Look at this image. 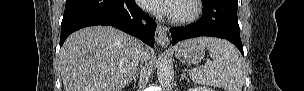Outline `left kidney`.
Here are the masks:
<instances>
[{
	"label": "left kidney",
	"instance_id": "left-kidney-1",
	"mask_svg": "<svg viewBox=\"0 0 304 91\" xmlns=\"http://www.w3.org/2000/svg\"><path fill=\"white\" fill-rule=\"evenodd\" d=\"M188 91H213L211 88L206 86H199L197 88H190Z\"/></svg>",
	"mask_w": 304,
	"mask_h": 91
}]
</instances>
